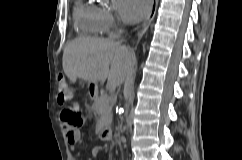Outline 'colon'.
I'll return each mask as SVG.
<instances>
[{
  "mask_svg": "<svg viewBox=\"0 0 242 160\" xmlns=\"http://www.w3.org/2000/svg\"><path fill=\"white\" fill-rule=\"evenodd\" d=\"M72 93L70 86L66 80L61 76L58 80V90H57V102L60 105H65L71 99ZM64 111V117L67 122L70 123L73 127H78L82 123V118L80 112L71 107L66 108Z\"/></svg>",
  "mask_w": 242,
  "mask_h": 160,
  "instance_id": "colon-1",
  "label": "colon"
}]
</instances>
